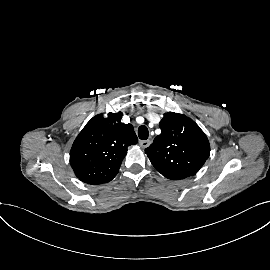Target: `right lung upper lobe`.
Masks as SVG:
<instances>
[{"mask_svg": "<svg viewBox=\"0 0 270 270\" xmlns=\"http://www.w3.org/2000/svg\"><path fill=\"white\" fill-rule=\"evenodd\" d=\"M122 112L93 117L75 139L70 164L75 175L88 184L111 181L118 173L127 147L138 139L131 124L120 120Z\"/></svg>", "mask_w": 270, "mask_h": 270, "instance_id": "1", "label": "right lung upper lobe"}]
</instances>
